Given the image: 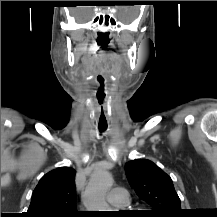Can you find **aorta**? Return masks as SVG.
<instances>
[{
	"instance_id": "obj_1",
	"label": "aorta",
	"mask_w": 217,
	"mask_h": 217,
	"mask_svg": "<svg viewBox=\"0 0 217 217\" xmlns=\"http://www.w3.org/2000/svg\"><path fill=\"white\" fill-rule=\"evenodd\" d=\"M112 185L113 179L107 170L96 169L93 172L83 193V202L88 211H111L105 195Z\"/></svg>"
}]
</instances>
